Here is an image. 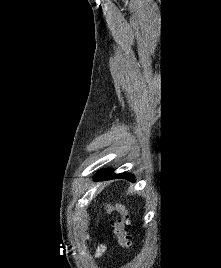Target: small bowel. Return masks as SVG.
<instances>
[{
	"label": "small bowel",
	"mask_w": 221,
	"mask_h": 268,
	"mask_svg": "<svg viewBox=\"0 0 221 268\" xmlns=\"http://www.w3.org/2000/svg\"><path fill=\"white\" fill-rule=\"evenodd\" d=\"M105 252V246L104 245H100L98 246L97 248V251H96V256H101L103 253Z\"/></svg>",
	"instance_id": "obj_1"
}]
</instances>
